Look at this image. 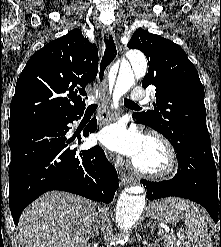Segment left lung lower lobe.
<instances>
[{"mask_svg":"<svg viewBox=\"0 0 221 247\" xmlns=\"http://www.w3.org/2000/svg\"><path fill=\"white\" fill-rule=\"evenodd\" d=\"M137 119V116H135ZM177 174L170 180H141L149 200L176 196L201 204L217 223H221V169L217 172L210 145V136L193 139L190 145L177 151Z\"/></svg>","mask_w":221,"mask_h":247,"instance_id":"1","label":"left lung lower lobe"}]
</instances>
